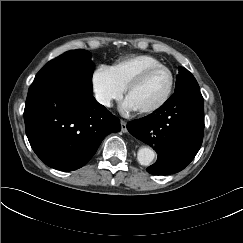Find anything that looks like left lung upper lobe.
I'll return each mask as SVG.
<instances>
[{
	"label": "left lung upper lobe",
	"mask_w": 243,
	"mask_h": 243,
	"mask_svg": "<svg viewBox=\"0 0 243 243\" xmlns=\"http://www.w3.org/2000/svg\"><path fill=\"white\" fill-rule=\"evenodd\" d=\"M176 79L175 92L185 88H199L194 76L183 67L179 68V74Z\"/></svg>",
	"instance_id": "left-lung-upper-lobe-1"
}]
</instances>
